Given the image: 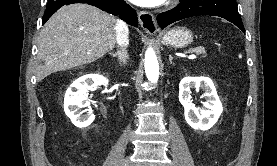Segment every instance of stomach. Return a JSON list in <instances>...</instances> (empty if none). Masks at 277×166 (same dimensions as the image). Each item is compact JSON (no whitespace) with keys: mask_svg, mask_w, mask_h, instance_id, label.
<instances>
[{"mask_svg":"<svg viewBox=\"0 0 277 166\" xmlns=\"http://www.w3.org/2000/svg\"><path fill=\"white\" fill-rule=\"evenodd\" d=\"M193 41V33L185 27H176L167 31L162 37V44L174 48H183Z\"/></svg>","mask_w":277,"mask_h":166,"instance_id":"obj_1","label":"stomach"}]
</instances>
